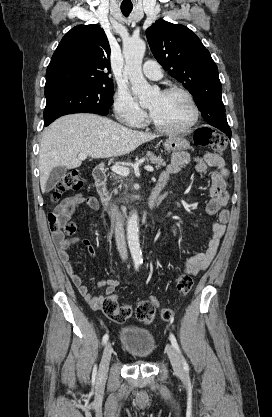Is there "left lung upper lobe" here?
I'll return each mask as SVG.
<instances>
[{"label":"left lung upper lobe","mask_w":272,"mask_h":417,"mask_svg":"<svg viewBox=\"0 0 272 417\" xmlns=\"http://www.w3.org/2000/svg\"><path fill=\"white\" fill-rule=\"evenodd\" d=\"M146 36L154 57L190 91L204 120L222 132H231L217 65L198 36L183 25L164 20H157Z\"/></svg>","instance_id":"1"}]
</instances>
